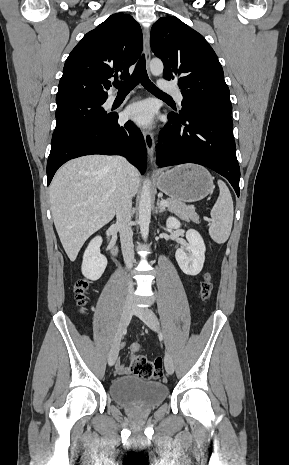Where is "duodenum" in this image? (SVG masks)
Returning <instances> with one entry per match:
<instances>
[{
	"instance_id": "duodenum-1",
	"label": "duodenum",
	"mask_w": 289,
	"mask_h": 465,
	"mask_svg": "<svg viewBox=\"0 0 289 465\" xmlns=\"http://www.w3.org/2000/svg\"><path fill=\"white\" fill-rule=\"evenodd\" d=\"M107 242H108V246H109V249H110V252L116 256L117 253H118V247H117V244H116V239H115V236L110 233L107 235Z\"/></svg>"
}]
</instances>
